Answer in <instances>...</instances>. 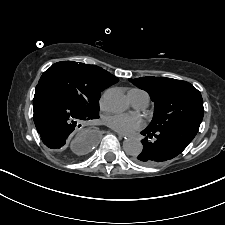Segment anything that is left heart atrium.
Instances as JSON below:
<instances>
[{
  "label": "left heart atrium",
  "mask_w": 225,
  "mask_h": 225,
  "mask_svg": "<svg viewBox=\"0 0 225 225\" xmlns=\"http://www.w3.org/2000/svg\"><path fill=\"white\" fill-rule=\"evenodd\" d=\"M105 122L120 133H131L143 127L140 117L124 113L111 114L105 118Z\"/></svg>",
  "instance_id": "left-heart-atrium-1"
}]
</instances>
